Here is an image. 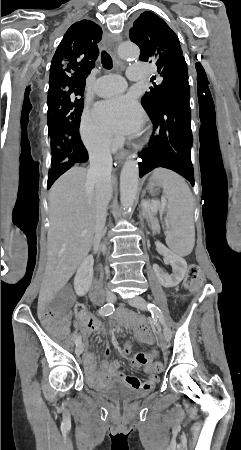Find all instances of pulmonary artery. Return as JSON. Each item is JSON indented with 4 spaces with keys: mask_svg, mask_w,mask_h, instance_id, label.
Masks as SVG:
<instances>
[{
    "mask_svg": "<svg viewBox=\"0 0 241 450\" xmlns=\"http://www.w3.org/2000/svg\"><path fill=\"white\" fill-rule=\"evenodd\" d=\"M149 70V64H130L127 76L128 78H148ZM126 85L127 80L121 78L119 74H98L94 90L99 97H107L109 102H114Z\"/></svg>",
    "mask_w": 241,
    "mask_h": 450,
    "instance_id": "e3ab8cb5",
    "label": "pulmonary artery"
}]
</instances>
